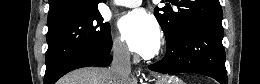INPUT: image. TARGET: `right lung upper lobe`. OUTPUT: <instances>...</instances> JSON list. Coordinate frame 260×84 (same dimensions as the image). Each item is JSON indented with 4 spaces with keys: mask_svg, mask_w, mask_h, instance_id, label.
<instances>
[{
    "mask_svg": "<svg viewBox=\"0 0 260 84\" xmlns=\"http://www.w3.org/2000/svg\"><path fill=\"white\" fill-rule=\"evenodd\" d=\"M102 0H49L48 28L98 11ZM105 2V0H103Z\"/></svg>",
    "mask_w": 260,
    "mask_h": 84,
    "instance_id": "obj_1",
    "label": "right lung upper lobe"
}]
</instances>
